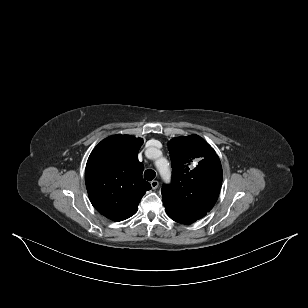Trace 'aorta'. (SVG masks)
<instances>
[{
  "label": "aorta",
  "mask_w": 308,
  "mask_h": 308,
  "mask_svg": "<svg viewBox=\"0 0 308 308\" xmlns=\"http://www.w3.org/2000/svg\"><path fill=\"white\" fill-rule=\"evenodd\" d=\"M165 163V165H163ZM156 166L164 180L170 179V169L168 167L167 161L165 159H160L157 161Z\"/></svg>",
  "instance_id": "obj_1"
}]
</instances>
